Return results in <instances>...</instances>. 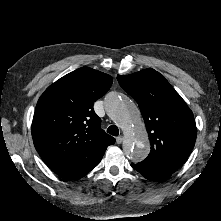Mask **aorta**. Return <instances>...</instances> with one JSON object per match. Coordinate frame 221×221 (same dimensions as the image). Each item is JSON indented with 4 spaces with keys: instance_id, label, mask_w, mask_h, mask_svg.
I'll return each mask as SVG.
<instances>
[{
    "instance_id": "762f6f07",
    "label": "aorta",
    "mask_w": 221,
    "mask_h": 221,
    "mask_svg": "<svg viewBox=\"0 0 221 221\" xmlns=\"http://www.w3.org/2000/svg\"><path fill=\"white\" fill-rule=\"evenodd\" d=\"M105 109L123 130V152L126 157L133 162L144 160L150 144L137 106L127 96L111 92L105 98Z\"/></svg>"
}]
</instances>
